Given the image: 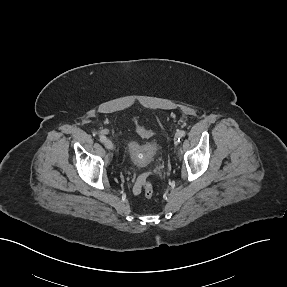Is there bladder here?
<instances>
[{
    "instance_id": "bladder-1",
    "label": "bladder",
    "mask_w": 287,
    "mask_h": 287,
    "mask_svg": "<svg viewBox=\"0 0 287 287\" xmlns=\"http://www.w3.org/2000/svg\"><path fill=\"white\" fill-rule=\"evenodd\" d=\"M157 152L156 144L140 145L134 141H131L127 148L128 159L137 168L149 167L154 162Z\"/></svg>"
}]
</instances>
